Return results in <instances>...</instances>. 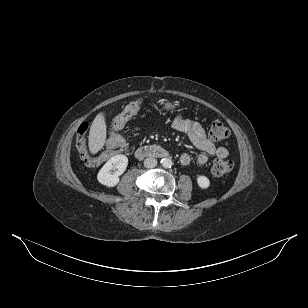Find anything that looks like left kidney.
Masks as SVG:
<instances>
[{"label": "left kidney", "mask_w": 308, "mask_h": 308, "mask_svg": "<svg viewBox=\"0 0 308 308\" xmlns=\"http://www.w3.org/2000/svg\"><path fill=\"white\" fill-rule=\"evenodd\" d=\"M196 180L201 189H207L210 186L209 179L204 175H197Z\"/></svg>", "instance_id": "5707ae66"}]
</instances>
